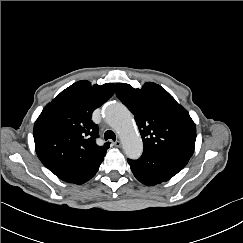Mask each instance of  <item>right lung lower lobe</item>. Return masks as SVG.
Here are the masks:
<instances>
[{"mask_svg": "<svg viewBox=\"0 0 243 243\" xmlns=\"http://www.w3.org/2000/svg\"><path fill=\"white\" fill-rule=\"evenodd\" d=\"M102 161L103 158L95 162L86 163L82 166L59 172L55 175L65 182L80 185L90 180L97 173Z\"/></svg>", "mask_w": 243, "mask_h": 243, "instance_id": "1", "label": "right lung lower lobe"}]
</instances>
